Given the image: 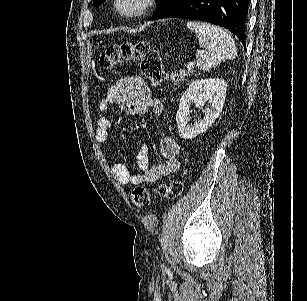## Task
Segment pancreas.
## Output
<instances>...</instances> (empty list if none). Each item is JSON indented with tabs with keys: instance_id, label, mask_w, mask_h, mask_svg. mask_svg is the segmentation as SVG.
<instances>
[{
	"instance_id": "pancreas-1",
	"label": "pancreas",
	"mask_w": 307,
	"mask_h": 301,
	"mask_svg": "<svg viewBox=\"0 0 307 301\" xmlns=\"http://www.w3.org/2000/svg\"><path fill=\"white\" fill-rule=\"evenodd\" d=\"M191 72L189 70H172L170 72V80L173 84H183L184 80H187V76H190Z\"/></svg>"
}]
</instances>
